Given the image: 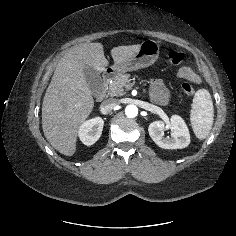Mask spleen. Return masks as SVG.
I'll list each match as a JSON object with an SVG mask.
<instances>
[{"label":"spleen","mask_w":236,"mask_h":236,"mask_svg":"<svg viewBox=\"0 0 236 236\" xmlns=\"http://www.w3.org/2000/svg\"><path fill=\"white\" fill-rule=\"evenodd\" d=\"M214 120L213 101L206 89H199L193 98L190 121L196 137L205 139L212 129Z\"/></svg>","instance_id":"spleen-1"}]
</instances>
